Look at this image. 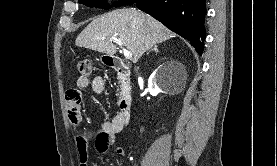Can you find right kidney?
Wrapping results in <instances>:
<instances>
[{
    "mask_svg": "<svg viewBox=\"0 0 277 166\" xmlns=\"http://www.w3.org/2000/svg\"><path fill=\"white\" fill-rule=\"evenodd\" d=\"M149 92L152 96H156L158 93L162 92L164 84L162 82V76L160 71L154 72L148 80Z\"/></svg>",
    "mask_w": 277,
    "mask_h": 166,
    "instance_id": "1",
    "label": "right kidney"
}]
</instances>
